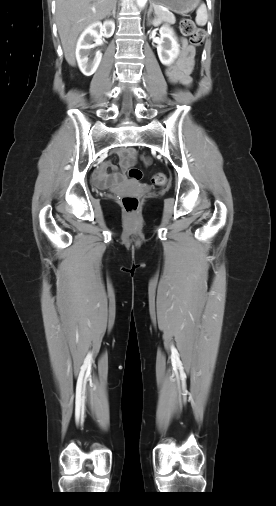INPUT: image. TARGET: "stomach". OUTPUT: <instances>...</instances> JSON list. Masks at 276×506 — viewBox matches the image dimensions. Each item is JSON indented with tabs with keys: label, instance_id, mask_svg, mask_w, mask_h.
Returning a JSON list of instances; mask_svg holds the SVG:
<instances>
[{
	"label": "stomach",
	"instance_id": "1",
	"mask_svg": "<svg viewBox=\"0 0 276 506\" xmlns=\"http://www.w3.org/2000/svg\"><path fill=\"white\" fill-rule=\"evenodd\" d=\"M200 0H152V4L159 7H165L179 14H186L193 11Z\"/></svg>",
	"mask_w": 276,
	"mask_h": 506
}]
</instances>
